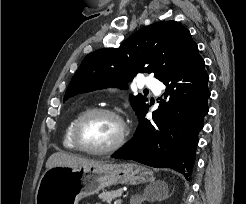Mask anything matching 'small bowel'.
<instances>
[{
    "label": "small bowel",
    "instance_id": "obj_1",
    "mask_svg": "<svg viewBox=\"0 0 246 204\" xmlns=\"http://www.w3.org/2000/svg\"><path fill=\"white\" fill-rule=\"evenodd\" d=\"M92 204H100V203H92Z\"/></svg>",
    "mask_w": 246,
    "mask_h": 204
}]
</instances>
